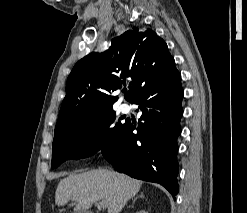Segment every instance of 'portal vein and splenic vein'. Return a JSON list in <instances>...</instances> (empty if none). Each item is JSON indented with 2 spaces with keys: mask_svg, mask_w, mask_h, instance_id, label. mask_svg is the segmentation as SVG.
Returning a JSON list of instances; mask_svg holds the SVG:
<instances>
[{
  "mask_svg": "<svg viewBox=\"0 0 247 213\" xmlns=\"http://www.w3.org/2000/svg\"><path fill=\"white\" fill-rule=\"evenodd\" d=\"M99 205H100L102 208H105V207L107 206L105 201H101V202L99 203Z\"/></svg>",
  "mask_w": 247,
  "mask_h": 213,
  "instance_id": "obj_1",
  "label": "portal vein and splenic vein"
}]
</instances>
